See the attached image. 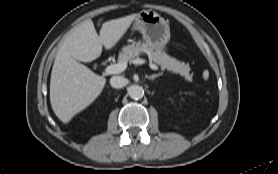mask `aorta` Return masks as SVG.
<instances>
[{
	"instance_id": "762f6f07",
	"label": "aorta",
	"mask_w": 278,
	"mask_h": 174,
	"mask_svg": "<svg viewBox=\"0 0 278 174\" xmlns=\"http://www.w3.org/2000/svg\"><path fill=\"white\" fill-rule=\"evenodd\" d=\"M129 96L134 100H139L144 96V89L139 85H132L128 88Z\"/></svg>"
}]
</instances>
